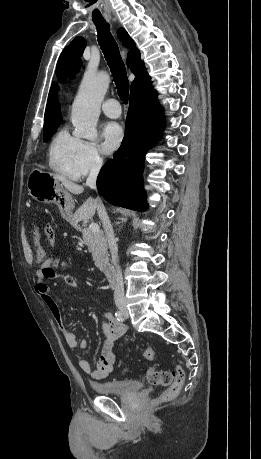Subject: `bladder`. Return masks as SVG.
I'll use <instances>...</instances> for the list:
<instances>
[{
    "label": "bladder",
    "instance_id": "bladder-1",
    "mask_svg": "<svg viewBox=\"0 0 261 459\" xmlns=\"http://www.w3.org/2000/svg\"><path fill=\"white\" fill-rule=\"evenodd\" d=\"M91 387L98 394L124 396L140 391L142 383L137 379H113L104 382H93Z\"/></svg>",
    "mask_w": 261,
    "mask_h": 459
}]
</instances>
